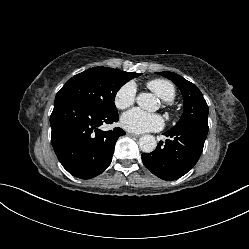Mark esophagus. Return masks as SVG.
Segmentation results:
<instances>
[{"label":"esophagus","mask_w":249,"mask_h":249,"mask_svg":"<svg viewBox=\"0 0 249 249\" xmlns=\"http://www.w3.org/2000/svg\"><path fill=\"white\" fill-rule=\"evenodd\" d=\"M127 134L131 137H140V135L131 132H128Z\"/></svg>","instance_id":"1"}]
</instances>
